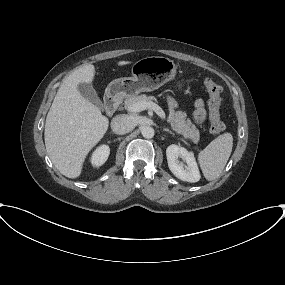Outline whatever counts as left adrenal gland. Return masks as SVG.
Returning <instances> with one entry per match:
<instances>
[{
  "label": "left adrenal gland",
  "mask_w": 285,
  "mask_h": 285,
  "mask_svg": "<svg viewBox=\"0 0 285 285\" xmlns=\"http://www.w3.org/2000/svg\"><path fill=\"white\" fill-rule=\"evenodd\" d=\"M163 131H166V132L172 134L173 136L175 135V134H174L171 130H169L168 128H163Z\"/></svg>",
  "instance_id": "a2214340"
}]
</instances>
